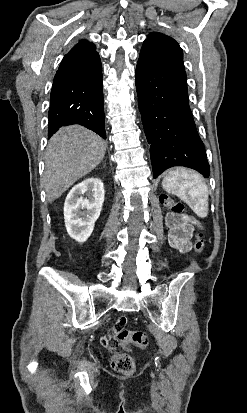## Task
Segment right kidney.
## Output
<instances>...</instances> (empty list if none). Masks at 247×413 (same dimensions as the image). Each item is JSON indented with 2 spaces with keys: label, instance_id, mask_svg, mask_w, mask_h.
Masks as SVG:
<instances>
[{
  "label": "right kidney",
  "instance_id": "ca27d5eb",
  "mask_svg": "<svg viewBox=\"0 0 247 413\" xmlns=\"http://www.w3.org/2000/svg\"><path fill=\"white\" fill-rule=\"evenodd\" d=\"M103 200L104 184L100 178H85L71 188L64 202V219L72 239L78 243L89 239L100 217Z\"/></svg>",
  "mask_w": 247,
  "mask_h": 413
}]
</instances>
